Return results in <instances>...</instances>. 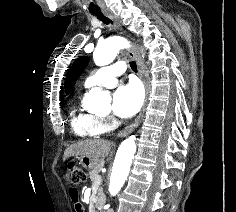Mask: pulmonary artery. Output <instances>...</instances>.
Listing matches in <instances>:
<instances>
[{"label":"pulmonary artery","instance_id":"1","mask_svg":"<svg viewBox=\"0 0 236 212\" xmlns=\"http://www.w3.org/2000/svg\"><path fill=\"white\" fill-rule=\"evenodd\" d=\"M125 68L122 62L104 66L88 76L84 86L86 88L93 86L113 87L117 83V77L125 71Z\"/></svg>","mask_w":236,"mask_h":212}]
</instances>
